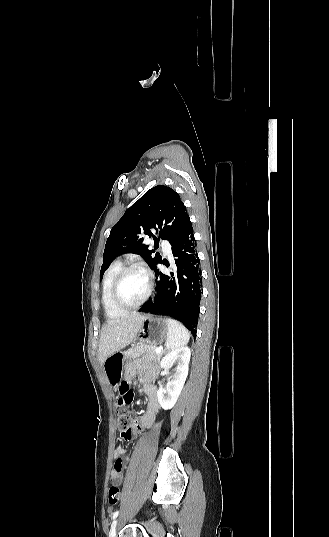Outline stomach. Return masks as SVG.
Returning a JSON list of instances; mask_svg holds the SVG:
<instances>
[{
	"label": "stomach",
	"mask_w": 329,
	"mask_h": 537,
	"mask_svg": "<svg viewBox=\"0 0 329 537\" xmlns=\"http://www.w3.org/2000/svg\"><path fill=\"white\" fill-rule=\"evenodd\" d=\"M138 339L148 345H160L169 334L168 319L145 315L138 331ZM123 354L116 352L103 363V369L109 383L114 386L119 383L123 374Z\"/></svg>",
	"instance_id": "1"
}]
</instances>
